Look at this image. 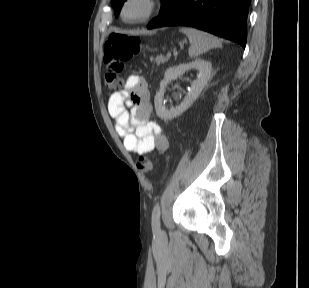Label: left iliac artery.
<instances>
[{"label":"left iliac artery","mask_w":309,"mask_h":288,"mask_svg":"<svg viewBox=\"0 0 309 288\" xmlns=\"http://www.w3.org/2000/svg\"><path fill=\"white\" fill-rule=\"evenodd\" d=\"M152 227L155 231L160 229V205L157 203L152 211Z\"/></svg>","instance_id":"44dca946"}]
</instances>
